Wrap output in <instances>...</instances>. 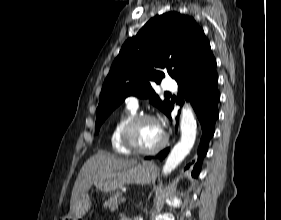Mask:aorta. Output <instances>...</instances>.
I'll return each instance as SVG.
<instances>
[{"instance_id": "1", "label": "aorta", "mask_w": 281, "mask_h": 220, "mask_svg": "<svg viewBox=\"0 0 281 220\" xmlns=\"http://www.w3.org/2000/svg\"><path fill=\"white\" fill-rule=\"evenodd\" d=\"M196 120L193 109L185 105L180 121L181 140L177 143L163 166L162 172L167 175L173 171L190 152L196 139Z\"/></svg>"}]
</instances>
